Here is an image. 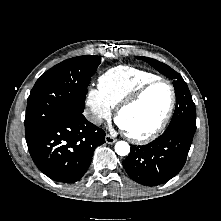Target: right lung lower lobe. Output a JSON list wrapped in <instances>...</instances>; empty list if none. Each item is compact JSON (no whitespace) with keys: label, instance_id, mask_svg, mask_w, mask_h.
<instances>
[{"label":"right lung lower lobe","instance_id":"1","mask_svg":"<svg viewBox=\"0 0 221 221\" xmlns=\"http://www.w3.org/2000/svg\"><path fill=\"white\" fill-rule=\"evenodd\" d=\"M38 169L52 180L73 183L87 171L93 151L105 143V132L83 114L57 118L26 138Z\"/></svg>","mask_w":221,"mask_h":221}]
</instances>
